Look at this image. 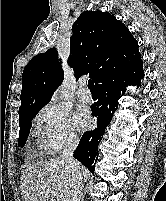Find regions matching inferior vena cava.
<instances>
[{"label":"inferior vena cava","mask_w":166,"mask_h":201,"mask_svg":"<svg viewBox=\"0 0 166 201\" xmlns=\"http://www.w3.org/2000/svg\"><path fill=\"white\" fill-rule=\"evenodd\" d=\"M78 142L77 138H69L61 156L62 161L68 164L72 173L73 185L68 201H81L82 196L83 183L80 164L73 157Z\"/></svg>","instance_id":"602c4592"}]
</instances>
